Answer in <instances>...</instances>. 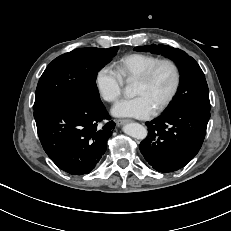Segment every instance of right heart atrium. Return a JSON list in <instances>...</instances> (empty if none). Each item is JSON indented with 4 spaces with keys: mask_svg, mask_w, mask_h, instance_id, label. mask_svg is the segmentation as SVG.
Masks as SVG:
<instances>
[{
    "mask_svg": "<svg viewBox=\"0 0 231 231\" xmlns=\"http://www.w3.org/2000/svg\"><path fill=\"white\" fill-rule=\"evenodd\" d=\"M95 84L101 97L113 103L122 93L124 80L115 68L105 65L97 71Z\"/></svg>",
    "mask_w": 231,
    "mask_h": 231,
    "instance_id": "1",
    "label": "right heart atrium"
}]
</instances>
